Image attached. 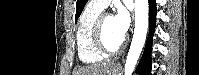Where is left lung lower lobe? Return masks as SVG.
<instances>
[{
	"label": "left lung lower lobe",
	"instance_id": "1",
	"mask_svg": "<svg viewBox=\"0 0 199 75\" xmlns=\"http://www.w3.org/2000/svg\"><path fill=\"white\" fill-rule=\"evenodd\" d=\"M149 15V38L141 61L136 69V72L141 75H151V47L156 22V0H149Z\"/></svg>",
	"mask_w": 199,
	"mask_h": 75
}]
</instances>
